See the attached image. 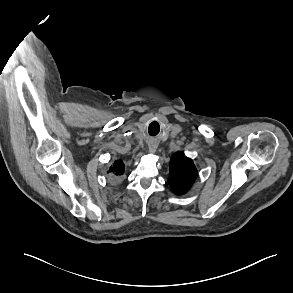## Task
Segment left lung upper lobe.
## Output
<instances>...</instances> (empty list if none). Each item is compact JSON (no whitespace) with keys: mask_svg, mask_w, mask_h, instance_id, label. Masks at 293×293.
Here are the masks:
<instances>
[{"mask_svg":"<svg viewBox=\"0 0 293 293\" xmlns=\"http://www.w3.org/2000/svg\"><path fill=\"white\" fill-rule=\"evenodd\" d=\"M197 177V169L193 161L182 152H176L170 161L168 183L177 195L185 194Z\"/></svg>","mask_w":293,"mask_h":293,"instance_id":"1","label":"left lung upper lobe"}]
</instances>
